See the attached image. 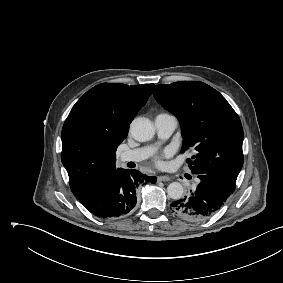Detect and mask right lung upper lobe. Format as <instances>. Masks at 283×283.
I'll use <instances>...</instances> for the list:
<instances>
[{
	"label": "right lung upper lobe",
	"mask_w": 283,
	"mask_h": 283,
	"mask_svg": "<svg viewBox=\"0 0 283 283\" xmlns=\"http://www.w3.org/2000/svg\"><path fill=\"white\" fill-rule=\"evenodd\" d=\"M154 84L102 83L87 91L64 122L61 160L76 198L97 188L117 170L116 149L145 105Z\"/></svg>",
	"instance_id": "1"
}]
</instances>
